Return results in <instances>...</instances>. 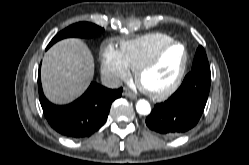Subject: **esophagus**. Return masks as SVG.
Masks as SVG:
<instances>
[{
    "instance_id": "34e87169",
    "label": "esophagus",
    "mask_w": 249,
    "mask_h": 165,
    "mask_svg": "<svg viewBox=\"0 0 249 165\" xmlns=\"http://www.w3.org/2000/svg\"><path fill=\"white\" fill-rule=\"evenodd\" d=\"M123 95L130 98V99H133V100H135L137 98L136 95L133 92L129 91V90H125L123 92Z\"/></svg>"
}]
</instances>
